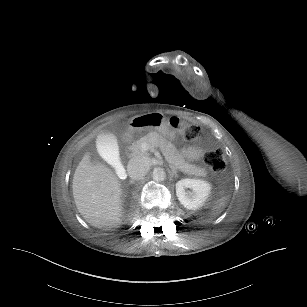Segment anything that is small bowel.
<instances>
[{"instance_id":"c3829d8e","label":"small bowel","mask_w":307,"mask_h":307,"mask_svg":"<svg viewBox=\"0 0 307 307\" xmlns=\"http://www.w3.org/2000/svg\"><path fill=\"white\" fill-rule=\"evenodd\" d=\"M202 151H203V149H202L201 147H192V148L190 149V152H191V154H192L193 156H199V155H201Z\"/></svg>"}]
</instances>
